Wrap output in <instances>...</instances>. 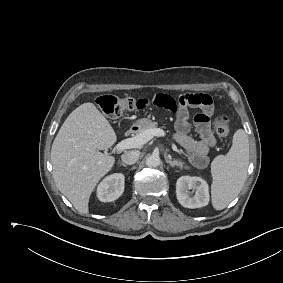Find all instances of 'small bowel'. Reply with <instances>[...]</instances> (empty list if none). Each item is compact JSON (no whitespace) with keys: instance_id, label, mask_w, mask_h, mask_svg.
<instances>
[{"instance_id":"c3829d8e","label":"small bowel","mask_w":283,"mask_h":283,"mask_svg":"<svg viewBox=\"0 0 283 283\" xmlns=\"http://www.w3.org/2000/svg\"><path fill=\"white\" fill-rule=\"evenodd\" d=\"M149 105L174 113L176 142L188 154L191 162L200 168L208 164V152L216 144L215 136L211 129V114L213 110L212 99L207 94L188 93L175 99L170 95L158 93L150 99H138L136 109L143 110ZM197 108L200 111L195 115L194 122L200 139L190 136L189 109Z\"/></svg>"}]
</instances>
